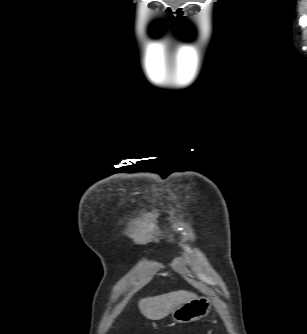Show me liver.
<instances>
[{"mask_svg":"<svg viewBox=\"0 0 307 334\" xmlns=\"http://www.w3.org/2000/svg\"><path fill=\"white\" fill-rule=\"evenodd\" d=\"M197 298L189 291H174L167 294L143 298L139 301L141 313L150 320H160L168 316L178 306Z\"/></svg>","mask_w":307,"mask_h":334,"instance_id":"1","label":"liver"}]
</instances>
